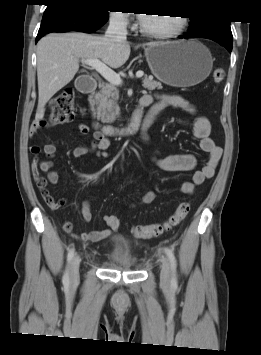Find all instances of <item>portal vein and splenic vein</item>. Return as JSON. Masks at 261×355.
Listing matches in <instances>:
<instances>
[{"instance_id": "18ae733b", "label": "portal vein and splenic vein", "mask_w": 261, "mask_h": 355, "mask_svg": "<svg viewBox=\"0 0 261 355\" xmlns=\"http://www.w3.org/2000/svg\"><path fill=\"white\" fill-rule=\"evenodd\" d=\"M82 63L95 69L104 79L113 85H121L122 79L120 75L114 72L111 68L101 62L99 59H83ZM142 71L136 72V78L143 77Z\"/></svg>"}]
</instances>
